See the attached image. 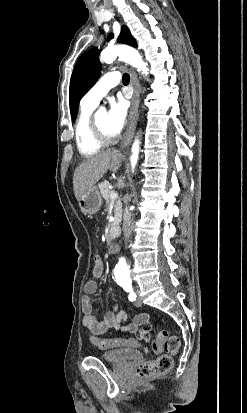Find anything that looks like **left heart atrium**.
I'll use <instances>...</instances> for the list:
<instances>
[{
    "label": "left heart atrium",
    "mask_w": 247,
    "mask_h": 413,
    "mask_svg": "<svg viewBox=\"0 0 247 413\" xmlns=\"http://www.w3.org/2000/svg\"><path fill=\"white\" fill-rule=\"evenodd\" d=\"M126 120V106L122 99L112 98L106 116V126L111 136H117L123 129Z\"/></svg>",
    "instance_id": "39dd6f15"
}]
</instances>
